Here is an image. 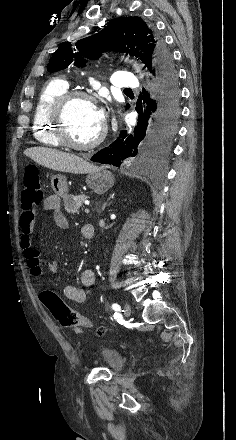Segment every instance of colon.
Returning a JSON list of instances; mask_svg holds the SVG:
<instances>
[{
	"label": "colon",
	"instance_id": "1",
	"mask_svg": "<svg viewBox=\"0 0 236 440\" xmlns=\"http://www.w3.org/2000/svg\"><path fill=\"white\" fill-rule=\"evenodd\" d=\"M43 199V186L37 169L34 167L27 168L23 174V190L21 193L22 209L24 211H30L41 204ZM41 297L51 315L62 326L69 328H73L75 325H81L83 328L91 326L90 320L70 310L55 292L48 289L42 290Z\"/></svg>",
	"mask_w": 236,
	"mask_h": 440
}]
</instances>
